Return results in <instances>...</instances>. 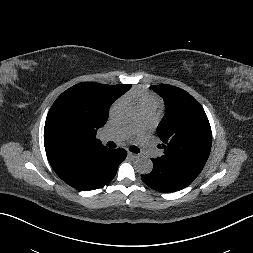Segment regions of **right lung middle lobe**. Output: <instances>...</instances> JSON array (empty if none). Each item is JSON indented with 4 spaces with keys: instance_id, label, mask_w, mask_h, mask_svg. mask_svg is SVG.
Listing matches in <instances>:
<instances>
[{
    "instance_id": "1",
    "label": "right lung middle lobe",
    "mask_w": 253,
    "mask_h": 253,
    "mask_svg": "<svg viewBox=\"0 0 253 253\" xmlns=\"http://www.w3.org/2000/svg\"><path fill=\"white\" fill-rule=\"evenodd\" d=\"M102 114L98 107H90L88 110L75 106L66 107L60 116L59 123L63 128H71L78 124L94 126Z\"/></svg>"
}]
</instances>
